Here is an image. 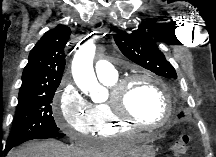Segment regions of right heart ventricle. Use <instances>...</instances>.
<instances>
[{
	"label": "right heart ventricle",
	"mask_w": 216,
	"mask_h": 157,
	"mask_svg": "<svg viewBox=\"0 0 216 157\" xmlns=\"http://www.w3.org/2000/svg\"><path fill=\"white\" fill-rule=\"evenodd\" d=\"M118 76L102 82L111 88L117 81ZM93 111L96 117L95 132L98 137L106 138L118 134H133L136 131L130 125L118 120L112 111L109 101L95 103Z\"/></svg>",
	"instance_id": "1"
}]
</instances>
